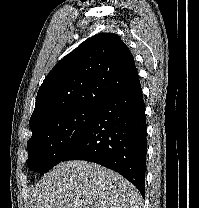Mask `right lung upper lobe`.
I'll return each mask as SVG.
<instances>
[{"mask_svg":"<svg viewBox=\"0 0 199 208\" xmlns=\"http://www.w3.org/2000/svg\"><path fill=\"white\" fill-rule=\"evenodd\" d=\"M138 80L129 48L113 33L93 36L60 60L39 88L30 128L60 113L98 106Z\"/></svg>","mask_w":199,"mask_h":208,"instance_id":"obj_1","label":"right lung upper lobe"}]
</instances>
